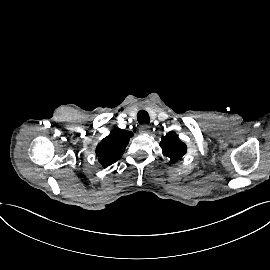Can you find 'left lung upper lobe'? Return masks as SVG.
Here are the masks:
<instances>
[{
    "mask_svg": "<svg viewBox=\"0 0 270 270\" xmlns=\"http://www.w3.org/2000/svg\"><path fill=\"white\" fill-rule=\"evenodd\" d=\"M160 146L164 156L170 159V163H175L181 159L187 151L185 143L180 141L174 131L168 132L161 137Z\"/></svg>",
    "mask_w": 270,
    "mask_h": 270,
    "instance_id": "obj_1",
    "label": "left lung upper lobe"
}]
</instances>
